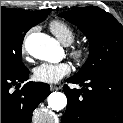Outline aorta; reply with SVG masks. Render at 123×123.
<instances>
[{
  "label": "aorta",
  "mask_w": 123,
  "mask_h": 123,
  "mask_svg": "<svg viewBox=\"0 0 123 123\" xmlns=\"http://www.w3.org/2000/svg\"><path fill=\"white\" fill-rule=\"evenodd\" d=\"M25 49L33 57L53 62L56 60V53L59 52L57 42L50 36L43 33H32L25 40ZM47 102L52 110L60 111L67 105V98L64 93L53 92Z\"/></svg>",
  "instance_id": "1"
}]
</instances>
